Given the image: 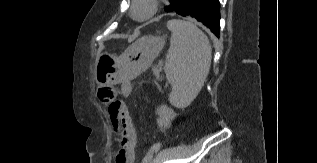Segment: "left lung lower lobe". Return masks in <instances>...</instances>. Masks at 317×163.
<instances>
[{"label": "left lung lower lobe", "instance_id": "1", "mask_svg": "<svg viewBox=\"0 0 317 163\" xmlns=\"http://www.w3.org/2000/svg\"><path fill=\"white\" fill-rule=\"evenodd\" d=\"M219 0H181L174 13L193 17L202 22L219 38L220 33Z\"/></svg>", "mask_w": 317, "mask_h": 163}]
</instances>
